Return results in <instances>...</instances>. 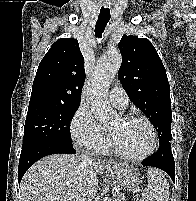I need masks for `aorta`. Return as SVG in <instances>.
<instances>
[{"label":"aorta","mask_w":196,"mask_h":201,"mask_svg":"<svg viewBox=\"0 0 196 201\" xmlns=\"http://www.w3.org/2000/svg\"><path fill=\"white\" fill-rule=\"evenodd\" d=\"M122 62L118 51H110L100 57L93 72L91 87L87 96L91 110L101 123H109L117 117L108 102V91Z\"/></svg>","instance_id":"obj_1"}]
</instances>
